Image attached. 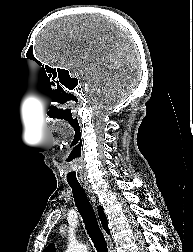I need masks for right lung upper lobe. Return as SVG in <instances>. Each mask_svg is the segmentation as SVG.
Here are the masks:
<instances>
[{
    "label": "right lung upper lobe",
    "mask_w": 193,
    "mask_h": 252,
    "mask_svg": "<svg viewBox=\"0 0 193 252\" xmlns=\"http://www.w3.org/2000/svg\"><path fill=\"white\" fill-rule=\"evenodd\" d=\"M98 213H99V218L101 220L102 226L104 228V230L109 234V228L107 226V217L104 214L103 208L101 206L98 207ZM54 244H50L49 246H47L43 252H54Z\"/></svg>",
    "instance_id": "obj_1"
}]
</instances>
